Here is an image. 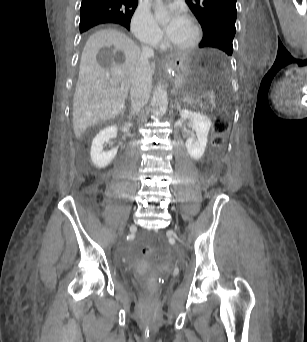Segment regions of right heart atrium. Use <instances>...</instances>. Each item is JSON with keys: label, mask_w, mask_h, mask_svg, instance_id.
Returning a JSON list of instances; mask_svg holds the SVG:
<instances>
[{"label": "right heart atrium", "mask_w": 307, "mask_h": 342, "mask_svg": "<svg viewBox=\"0 0 307 342\" xmlns=\"http://www.w3.org/2000/svg\"><path fill=\"white\" fill-rule=\"evenodd\" d=\"M132 35L142 42L156 44L157 31L146 12L137 11L130 23Z\"/></svg>", "instance_id": "d8ad5b80"}]
</instances>
